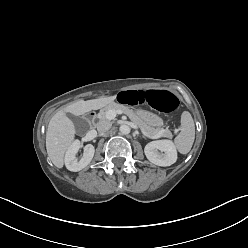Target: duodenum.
Instances as JSON below:
<instances>
[{
    "label": "duodenum",
    "instance_id": "duodenum-1",
    "mask_svg": "<svg viewBox=\"0 0 248 248\" xmlns=\"http://www.w3.org/2000/svg\"><path fill=\"white\" fill-rule=\"evenodd\" d=\"M96 116V112L95 111H90L88 114H87V118L88 119H93L95 118Z\"/></svg>",
    "mask_w": 248,
    "mask_h": 248
}]
</instances>
